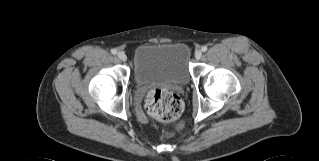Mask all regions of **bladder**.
<instances>
[{"instance_id":"obj_1","label":"bladder","mask_w":319,"mask_h":161,"mask_svg":"<svg viewBox=\"0 0 319 161\" xmlns=\"http://www.w3.org/2000/svg\"><path fill=\"white\" fill-rule=\"evenodd\" d=\"M191 53L183 43H143L134 53V78L139 85H187Z\"/></svg>"}]
</instances>
